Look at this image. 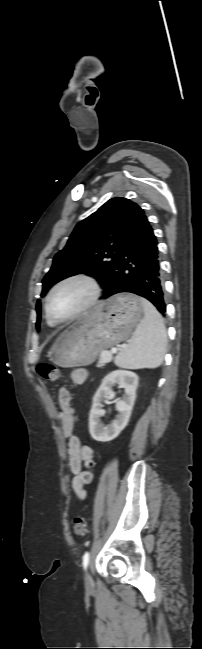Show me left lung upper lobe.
Returning a JSON list of instances; mask_svg holds the SVG:
<instances>
[{
	"label": "left lung upper lobe",
	"instance_id": "5c2ea615",
	"mask_svg": "<svg viewBox=\"0 0 202 649\" xmlns=\"http://www.w3.org/2000/svg\"><path fill=\"white\" fill-rule=\"evenodd\" d=\"M144 216V211L136 203L117 197L78 223L67 245L55 255L53 265L42 281L41 296L56 282L85 271L101 274L103 281L109 284L124 243ZM36 310L38 329L40 301Z\"/></svg>",
	"mask_w": 202,
	"mask_h": 649
}]
</instances>
